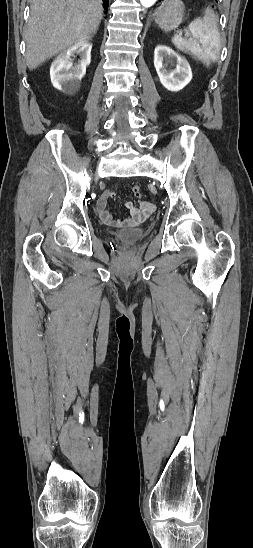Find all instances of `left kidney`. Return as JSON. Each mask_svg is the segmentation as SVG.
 <instances>
[{
    "label": "left kidney",
    "instance_id": "5707ae66",
    "mask_svg": "<svg viewBox=\"0 0 253 548\" xmlns=\"http://www.w3.org/2000/svg\"><path fill=\"white\" fill-rule=\"evenodd\" d=\"M174 65L176 68L171 69ZM154 67L161 84L172 92L183 89L192 79L188 61L165 45H158L155 48Z\"/></svg>",
    "mask_w": 253,
    "mask_h": 548
}]
</instances>
